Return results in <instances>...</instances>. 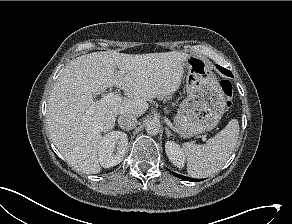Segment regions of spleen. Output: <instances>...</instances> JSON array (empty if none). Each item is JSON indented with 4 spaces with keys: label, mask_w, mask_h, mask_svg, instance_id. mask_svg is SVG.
Listing matches in <instances>:
<instances>
[{
    "label": "spleen",
    "mask_w": 292,
    "mask_h": 224,
    "mask_svg": "<svg viewBox=\"0 0 292 224\" xmlns=\"http://www.w3.org/2000/svg\"><path fill=\"white\" fill-rule=\"evenodd\" d=\"M239 129L238 121L232 119L222 131L205 144L184 143L188 175L193 178H205L219 171L234 151Z\"/></svg>",
    "instance_id": "obj_1"
}]
</instances>
